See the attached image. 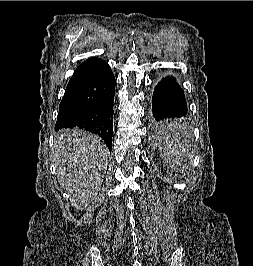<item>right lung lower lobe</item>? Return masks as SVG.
<instances>
[{"mask_svg":"<svg viewBox=\"0 0 253 266\" xmlns=\"http://www.w3.org/2000/svg\"><path fill=\"white\" fill-rule=\"evenodd\" d=\"M115 82L102 59L89 58L80 64L61 100L55 130L78 127L98 134L111 152Z\"/></svg>","mask_w":253,"mask_h":266,"instance_id":"obj_1","label":"right lung lower lobe"}]
</instances>
